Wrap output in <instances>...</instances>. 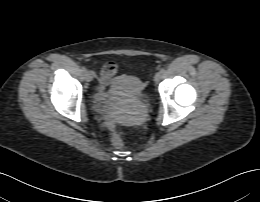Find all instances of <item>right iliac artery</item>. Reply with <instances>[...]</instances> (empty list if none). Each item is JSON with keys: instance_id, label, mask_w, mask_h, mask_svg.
Returning <instances> with one entry per match:
<instances>
[{"instance_id": "obj_1", "label": "right iliac artery", "mask_w": 260, "mask_h": 202, "mask_svg": "<svg viewBox=\"0 0 260 202\" xmlns=\"http://www.w3.org/2000/svg\"><path fill=\"white\" fill-rule=\"evenodd\" d=\"M81 71L85 72L86 71V68L83 66L81 67Z\"/></svg>"}]
</instances>
